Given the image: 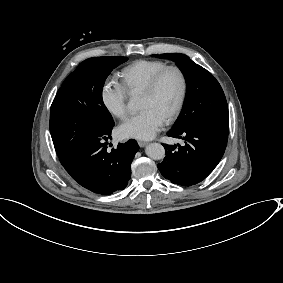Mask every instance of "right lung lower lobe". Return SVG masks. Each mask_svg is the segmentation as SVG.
<instances>
[{"label":"right lung lower lobe","mask_w":283,"mask_h":283,"mask_svg":"<svg viewBox=\"0 0 283 283\" xmlns=\"http://www.w3.org/2000/svg\"><path fill=\"white\" fill-rule=\"evenodd\" d=\"M108 128L101 134L86 138L72 152L60 158L69 175L84 188L98 194L110 195L123 190L131 177V163L139 149L134 139L107 150L111 139Z\"/></svg>","instance_id":"right-lung-lower-lobe-1"}]
</instances>
